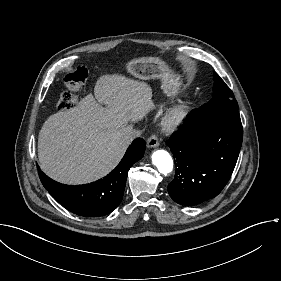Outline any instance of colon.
<instances>
[{
    "instance_id": "obj_1",
    "label": "colon",
    "mask_w": 281,
    "mask_h": 281,
    "mask_svg": "<svg viewBox=\"0 0 281 281\" xmlns=\"http://www.w3.org/2000/svg\"><path fill=\"white\" fill-rule=\"evenodd\" d=\"M88 77V70L84 66H78L74 70L66 73L63 77V84L67 90L62 92L57 100L59 111H68L76 105L75 90L80 89Z\"/></svg>"
}]
</instances>
